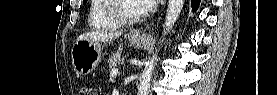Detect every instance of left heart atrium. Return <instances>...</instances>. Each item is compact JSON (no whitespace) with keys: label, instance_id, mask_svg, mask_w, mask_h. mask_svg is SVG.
<instances>
[{"label":"left heart atrium","instance_id":"left-heart-atrium-1","mask_svg":"<svg viewBox=\"0 0 277 95\" xmlns=\"http://www.w3.org/2000/svg\"><path fill=\"white\" fill-rule=\"evenodd\" d=\"M138 1L141 3L144 9H151L159 2V0H138Z\"/></svg>","mask_w":277,"mask_h":95}]
</instances>
